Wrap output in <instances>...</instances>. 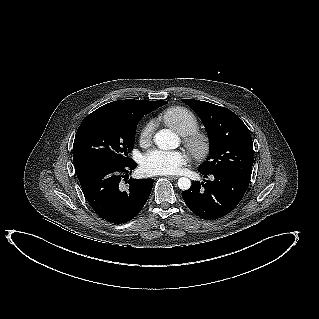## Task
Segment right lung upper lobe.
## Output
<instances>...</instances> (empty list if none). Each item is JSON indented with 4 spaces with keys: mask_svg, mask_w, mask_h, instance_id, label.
Returning <instances> with one entry per match:
<instances>
[{
    "mask_svg": "<svg viewBox=\"0 0 319 319\" xmlns=\"http://www.w3.org/2000/svg\"><path fill=\"white\" fill-rule=\"evenodd\" d=\"M161 102L163 101L161 100L144 101V100H134V99L118 100V101L110 102L98 108L94 112L119 110V111L132 112V113H144V112L149 113L159 108L160 107L159 105L161 104Z\"/></svg>",
    "mask_w": 319,
    "mask_h": 319,
    "instance_id": "right-lung-upper-lobe-1",
    "label": "right lung upper lobe"
}]
</instances>
